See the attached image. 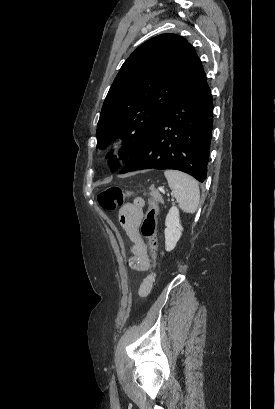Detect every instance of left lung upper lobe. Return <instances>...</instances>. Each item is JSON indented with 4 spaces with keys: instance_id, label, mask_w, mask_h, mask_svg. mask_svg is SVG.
<instances>
[{
    "instance_id": "obj_1",
    "label": "left lung upper lobe",
    "mask_w": 275,
    "mask_h": 409,
    "mask_svg": "<svg viewBox=\"0 0 275 409\" xmlns=\"http://www.w3.org/2000/svg\"><path fill=\"white\" fill-rule=\"evenodd\" d=\"M206 78L193 46L174 34L140 45L124 62L104 101L97 126V148L127 137L119 157L127 161L153 126L182 96ZM112 171L120 167L112 151Z\"/></svg>"
}]
</instances>
